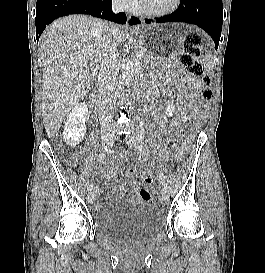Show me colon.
<instances>
[{"mask_svg": "<svg viewBox=\"0 0 265 273\" xmlns=\"http://www.w3.org/2000/svg\"><path fill=\"white\" fill-rule=\"evenodd\" d=\"M202 39L197 32H190L186 35L183 48L181 50V63L184 68L191 74L200 77L201 83L206 88L202 95L204 99H209L211 97V92L207 87L211 83L210 77L204 73L203 67L199 61V56L201 54ZM207 108V107H206ZM73 162V159H71ZM130 175H135L136 170L130 168L128 170ZM141 197L145 201H150L152 199V191L148 186H144L140 191Z\"/></svg>", "mask_w": 265, "mask_h": 273, "instance_id": "colon-1", "label": "colon"}]
</instances>
